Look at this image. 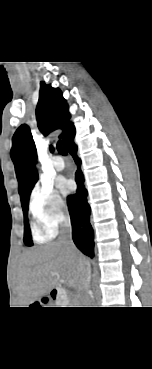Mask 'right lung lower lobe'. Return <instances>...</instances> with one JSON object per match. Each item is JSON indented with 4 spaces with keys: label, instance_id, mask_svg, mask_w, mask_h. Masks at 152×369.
Instances as JSON below:
<instances>
[{
    "label": "right lung lower lobe",
    "instance_id": "98d812e1",
    "mask_svg": "<svg viewBox=\"0 0 152 369\" xmlns=\"http://www.w3.org/2000/svg\"><path fill=\"white\" fill-rule=\"evenodd\" d=\"M68 151L73 156L78 168L76 171V194L67 198L68 209L72 223L73 241L77 248L89 257L94 256L93 230L90 224V207L87 203V190L84 186V177L80 169L81 160L77 156V146L74 141L68 145Z\"/></svg>",
    "mask_w": 152,
    "mask_h": 369
}]
</instances>
